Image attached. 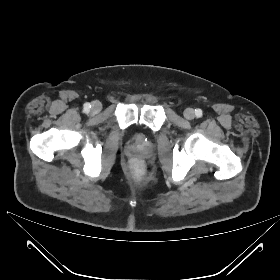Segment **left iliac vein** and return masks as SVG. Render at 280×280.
<instances>
[{"instance_id":"1","label":"left iliac vein","mask_w":280,"mask_h":280,"mask_svg":"<svg viewBox=\"0 0 280 280\" xmlns=\"http://www.w3.org/2000/svg\"><path fill=\"white\" fill-rule=\"evenodd\" d=\"M184 117H185L186 119H188V120L194 119V117H195V112H194V110L191 109V108L185 109V111H184Z\"/></svg>"}]
</instances>
